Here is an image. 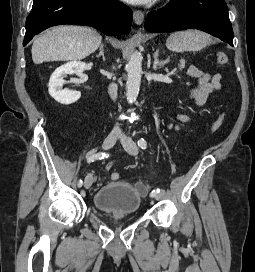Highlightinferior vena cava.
Returning <instances> with one entry per match:
<instances>
[{
  "label": "inferior vena cava",
  "mask_w": 255,
  "mask_h": 272,
  "mask_svg": "<svg viewBox=\"0 0 255 272\" xmlns=\"http://www.w3.org/2000/svg\"><path fill=\"white\" fill-rule=\"evenodd\" d=\"M108 93L112 100H115L117 98V85L115 83L109 85ZM113 133L115 134L121 133V130L117 125L113 128Z\"/></svg>",
  "instance_id": "obj_1"
}]
</instances>
